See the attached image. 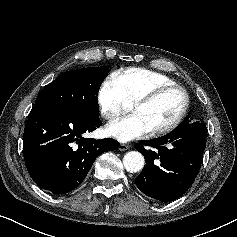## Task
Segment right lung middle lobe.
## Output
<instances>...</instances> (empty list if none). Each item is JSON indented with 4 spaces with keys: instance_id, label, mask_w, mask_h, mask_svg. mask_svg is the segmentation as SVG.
Wrapping results in <instances>:
<instances>
[{
    "instance_id": "obj_1",
    "label": "right lung middle lobe",
    "mask_w": 237,
    "mask_h": 237,
    "mask_svg": "<svg viewBox=\"0 0 237 237\" xmlns=\"http://www.w3.org/2000/svg\"><path fill=\"white\" fill-rule=\"evenodd\" d=\"M108 66L67 71L45 86L35 105L62 109L85 119L98 118L97 95Z\"/></svg>"
}]
</instances>
